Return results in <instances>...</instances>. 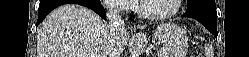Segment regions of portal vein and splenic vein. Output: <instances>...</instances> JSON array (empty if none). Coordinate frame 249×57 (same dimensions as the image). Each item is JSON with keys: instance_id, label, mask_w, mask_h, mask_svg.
Instances as JSON below:
<instances>
[{"instance_id": "1", "label": "portal vein and splenic vein", "mask_w": 249, "mask_h": 57, "mask_svg": "<svg viewBox=\"0 0 249 57\" xmlns=\"http://www.w3.org/2000/svg\"><path fill=\"white\" fill-rule=\"evenodd\" d=\"M86 57H99V55L92 54V55H85Z\"/></svg>"}]
</instances>
